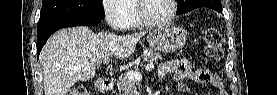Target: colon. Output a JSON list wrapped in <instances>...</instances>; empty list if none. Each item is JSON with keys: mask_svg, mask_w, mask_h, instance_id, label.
Returning a JSON list of instances; mask_svg holds the SVG:
<instances>
[{"mask_svg": "<svg viewBox=\"0 0 277 95\" xmlns=\"http://www.w3.org/2000/svg\"><path fill=\"white\" fill-rule=\"evenodd\" d=\"M204 53L207 59H219L222 57V49L225 43L222 34L215 28H206L203 31ZM71 95H87L83 86L73 88Z\"/></svg>", "mask_w": 277, "mask_h": 95, "instance_id": "obj_1", "label": "colon"}]
</instances>
